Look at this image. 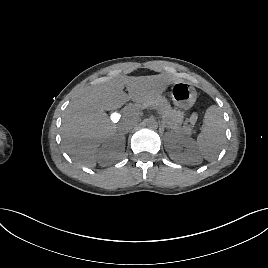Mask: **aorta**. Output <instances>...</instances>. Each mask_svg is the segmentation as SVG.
<instances>
[{"instance_id": "aorta-1", "label": "aorta", "mask_w": 268, "mask_h": 268, "mask_svg": "<svg viewBox=\"0 0 268 268\" xmlns=\"http://www.w3.org/2000/svg\"><path fill=\"white\" fill-rule=\"evenodd\" d=\"M146 125L149 129L156 130L158 128V121L151 117L147 119Z\"/></svg>"}]
</instances>
